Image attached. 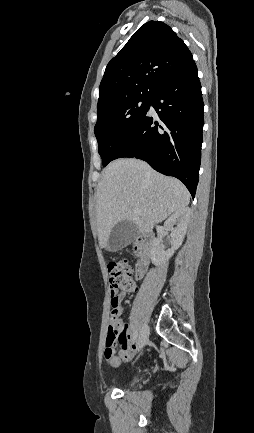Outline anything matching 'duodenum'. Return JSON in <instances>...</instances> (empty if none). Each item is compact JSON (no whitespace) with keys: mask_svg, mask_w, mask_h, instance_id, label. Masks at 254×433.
I'll use <instances>...</instances> for the list:
<instances>
[{"mask_svg":"<svg viewBox=\"0 0 254 433\" xmlns=\"http://www.w3.org/2000/svg\"><path fill=\"white\" fill-rule=\"evenodd\" d=\"M155 235L152 232H148L141 236L139 240L136 242V247L139 252V261L135 268V274L138 278H141L148 266V257H149V251L150 247L154 242Z\"/></svg>","mask_w":254,"mask_h":433,"instance_id":"obj_1","label":"duodenum"}]
</instances>
